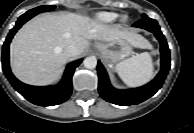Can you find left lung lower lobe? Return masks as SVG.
<instances>
[{
  "label": "left lung lower lobe",
  "mask_w": 194,
  "mask_h": 133,
  "mask_svg": "<svg viewBox=\"0 0 194 133\" xmlns=\"http://www.w3.org/2000/svg\"><path fill=\"white\" fill-rule=\"evenodd\" d=\"M133 26L152 32L160 42V52L162 56L161 70L154 80L143 87L130 90H117L110 84L106 70L99 61L97 66L99 93L106 101L121 106L136 105L153 96L161 88L170 69L169 48L157 21L146 16L134 23Z\"/></svg>",
  "instance_id": "obj_1"
}]
</instances>
